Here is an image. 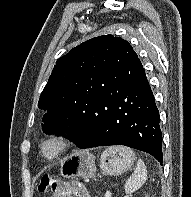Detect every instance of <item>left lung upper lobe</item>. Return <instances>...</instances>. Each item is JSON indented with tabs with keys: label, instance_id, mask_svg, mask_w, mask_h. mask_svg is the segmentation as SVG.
<instances>
[{
	"label": "left lung upper lobe",
	"instance_id": "left-lung-upper-lobe-1",
	"mask_svg": "<svg viewBox=\"0 0 191 197\" xmlns=\"http://www.w3.org/2000/svg\"><path fill=\"white\" fill-rule=\"evenodd\" d=\"M141 70L132 46L120 37L99 36L76 46L57 60L40 95L38 107L46 111L44 133L71 136L80 119L91 114L101 99L129 74Z\"/></svg>",
	"mask_w": 191,
	"mask_h": 197
}]
</instances>
